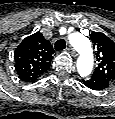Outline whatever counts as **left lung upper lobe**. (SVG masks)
Segmentation results:
<instances>
[{"mask_svg":"<svg viewBox=\"0 0 115 119\" xmlns=\"http://www.w3.org/2000/svg\"><path fill=\"white\" fill-rule=\"evenodd\" d=\"M90 37L98 61L94 75L103 77L109 82L115 81V42L101 32H92Z\"/></svg>","mask_w":115,"mask_h":119,"instance_id":"5c2ea615","label":"left lung upper lobe"}]
</instances>
